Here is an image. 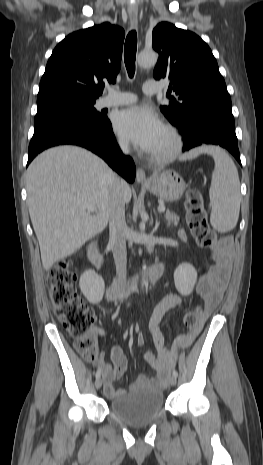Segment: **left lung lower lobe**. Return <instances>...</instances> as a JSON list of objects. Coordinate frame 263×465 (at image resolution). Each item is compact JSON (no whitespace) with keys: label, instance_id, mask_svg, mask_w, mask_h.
Wrapping results in <instances>:
<instances>
[{"label":"left lung lower lobe","instance_id":"0a47b994","mask_svg":"<svg viewBox=\"0 0 263 465\" xmlns=\"http://www.w3.org/2000/svg\"><path fill=\"white\" fill-rule=\"evenodd\" d=\"M184 139L183 151L204 144L219 145L227 149L241 164L231 113L206 107L194 115L186 125L177 126Z\"/></svg>","mask_w":263,"mask_h":465}]
</instances>
